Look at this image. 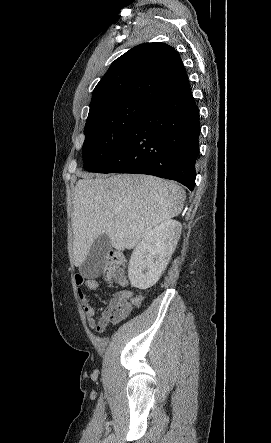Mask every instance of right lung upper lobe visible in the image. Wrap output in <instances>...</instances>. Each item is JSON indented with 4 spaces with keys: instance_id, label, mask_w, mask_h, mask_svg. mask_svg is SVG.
I'll list each match as a JSON object with an SVG mask.
<instances>
[{
    "instance_id": "obj_1",
    "label": "right lung upper lobe",
    "mask_w": 271,
    "mask_h": 443,
    "mask_svg": "<svg viewBox=\"0 0 271 443\" xmlns=\"http://www.w3.org/2000/svg\"><path fill=\"white\" fill-rule=\"evenodd\" d=\"M189 88L181 57L174 48L159 42L140 44L111 64L93 91L89 114L104 103L122 99L153 103Z\"/></svg>"
}]
</instances>
